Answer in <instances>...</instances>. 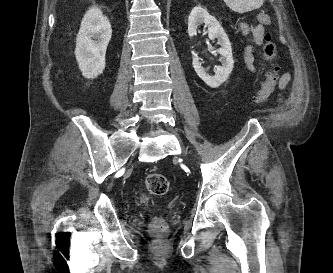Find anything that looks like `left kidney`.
<instances>
[{"label": "left kidney", "mask_w": 333, "mask_h": 273, "mask_svg": "<svg viewBox=\"0 0 333 273\" xmlns=\"http://www.w3.org/2000/svg\"><path fill=\"white\" fill-rule=\"evenodd\" d=\"M208 27V36L211 40L218 39L221 48L217 52L222 56V66H218L214 76L206 73L202 67L200 58L193 54L192 65L197 75L210 87L217 88L224 83L232 72L234 60L232 56V48L227 34L221 27L220 23L211 16L206 9L196 6L191 10L188 17V34L193 37L197 34V28L201 24Z\"/></svg>", "instance_id": "obj_1"}]
</instances>
